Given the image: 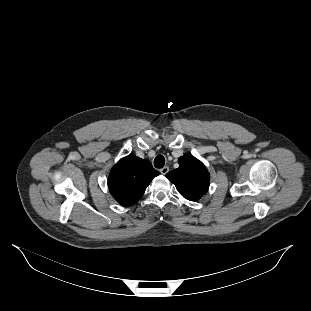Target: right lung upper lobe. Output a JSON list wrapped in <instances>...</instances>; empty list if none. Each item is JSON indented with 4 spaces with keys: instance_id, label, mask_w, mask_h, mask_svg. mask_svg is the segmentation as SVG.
I'll return each instance as SVG.
<instances>
[{
    "instance_id": "cb5924a9",
    "label": "right lung upper lobe",
    "mask_w": 311,
    "mask_h": 311,
    "mask_svg": "<svg viewBox=\"0 0 311 311\" xmlns=\"http://www.w3.org/2000/svg\"><path fill=\"white\" fill-rule=\"evenodd\" d=\"M159 174L150 161L129 155L112 168L108 187L120 205L130 206L142 197L146 187Z\"/></svg>"
}]
</instances>
